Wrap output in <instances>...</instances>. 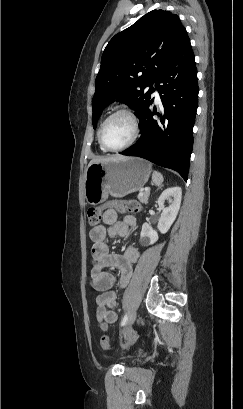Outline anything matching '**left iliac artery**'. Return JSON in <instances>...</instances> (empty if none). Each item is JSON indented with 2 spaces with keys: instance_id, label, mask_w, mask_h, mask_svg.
Here are the masks:
<instances>
[{
  "instance_id": "obj_1",
  "label": "left iliac artery",
  "mask_w": 243,
  "mask_h": 409,
  "mask_svg": "<svg viewBox=\"0 0 243 409\" xmlns=\"http://www.w3.org/2000/svg\"><path fill=\"white\" fill-rule=\"evenodd\" d=\"M127 321H128V315H127V314H125V315H124V317L122 318V321H121V326L126 325Z\"/></svg>"
}]
</instances>
